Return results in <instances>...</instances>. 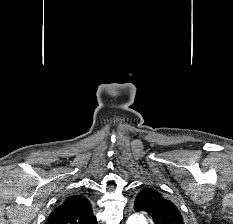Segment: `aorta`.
Listing matches in <instances>:
<instances>
[{"label":"aorta","mask_w":233,"mask_h":224,"mask_svg":"<svg viewBox=\"0 0 233 224\" xmlns=\"http://www.w3.org/2000/svg\"><path fill=\"white\" fill-rule=\"evenodd\" d=\"M126 224H148V223L143 215L133 214L127 219Z\"/></svg>","instance_id":"762f6f07"}]
</instances>
